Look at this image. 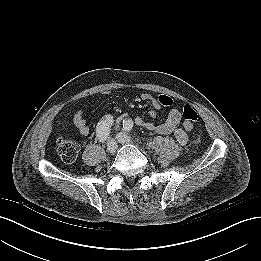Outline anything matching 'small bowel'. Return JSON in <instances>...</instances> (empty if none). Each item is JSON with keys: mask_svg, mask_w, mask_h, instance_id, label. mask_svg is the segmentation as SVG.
I'll use <instances>...</instances> for the list:
<instances>
[{"mask_svg": "<svg viewBox=\"0 0 261 261\" xmlns=\"http://www.w3.org/2000/svg\"><path fill=\"white\" fill-rule=\"evenodd\" d=\"M140 99L152 106V109L148 112L150 118H155L157 115L156 111L159 110L162 106H168L158 99V95H153L149 92L142 93L140 95ZM73 120L74 124L80 130V133L83 136H88L90 134V128L86 123L83 108L76 109ZM134 123L160 135L174 134L177 142L180 145H186L188 143L189 138L187 132L193 128V123L187 122L185 120L182 122L181 112L174 107L170 109L167 119L161 124L155 125L154 123L145 120L141 116L135 117Z\"/></svg>", "mask_w": 261, "mask_h": 261, "instance_id": "obj_1", "label": "small bowel"}]
</instances>
